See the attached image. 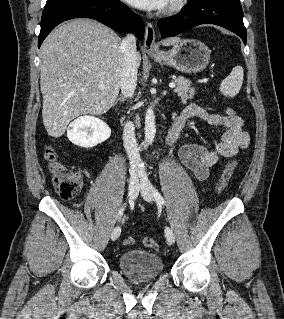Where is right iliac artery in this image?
<instances>
[{"label": "right iliac artery", "mask_w": 284, "mask_h": 319, "mask_svg": "<svg viewBox=\"0 0 284 319\" xmlns=\"http://www.w3.org/2000/svg\"><path fill=\"white\" fill-rule=\"evenodd\" d=\"M124 209H125V206H122V207L120 208V210H119V212H118V216H117L118 219H120L121 216L123 215Z\"/></svg>", "instance_id": "82829eb1"}]
</instances>
